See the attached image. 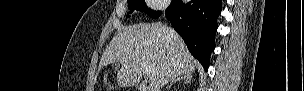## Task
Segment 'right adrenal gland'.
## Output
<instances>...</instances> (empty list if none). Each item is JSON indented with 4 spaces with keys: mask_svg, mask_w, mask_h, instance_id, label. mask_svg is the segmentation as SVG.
<instances>
[{
    "mask_svg": "<svg viewBox=\"0 0 304 91\" xmlns=\"http://www.w3.org/2000/svg\"><path fill=\"white\" fill-rule=\"evenodd\" d=\"M176 82H184V83L190 84L191 76H181V77L177 78L167 87V89H170Z\"/></svg>",
    "mask_w": 304,
    "mask_h": 91,
    "instance_id": "right-adrenal-gland-1",
    "label": "right adrenal gland"
}]
</instances>
